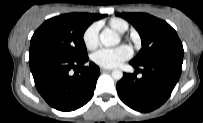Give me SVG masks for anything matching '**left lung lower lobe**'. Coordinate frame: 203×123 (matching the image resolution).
<instances>
[{
  "label": "left lung lower lobe",
  "instance_id": "obj_1",
  "mask_svg": "<svg viewBox=\"0 0 203 123\" xmlns=\"http://www.w3.org/2000/svg\"><path fill=\"white\" fill-rule=\"evenodd\" d=\"M183 59H156L143 64H130L137 74H123L117 83L120 99L130 108L149 112L160 107L171 95L182 71ZM141 68V69H140Z\"/></svg>",
  "mask_w": 203,
  "mask_h": 123
}]
</instances>
